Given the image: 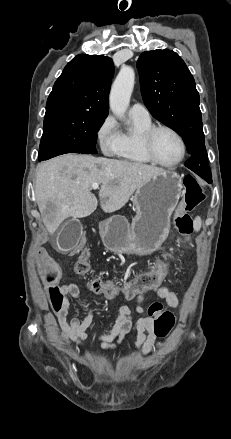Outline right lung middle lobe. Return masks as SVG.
I'll use <instances>...</instances> for the list:
<instances>
[{
    "label": "right lung middle lobe",
    "instance_id": "1",
    "mask_svg": "<svg viewBox=\"0 0 231 439\" xmlns=\"http://www.w3.org/2000/svg\"><path fill=\"white\" fill-rule=\"evenodd\" d=\"M106 117L90 113L45 117L39 161L65 153L96 154L97 132Z\"/></svg>",
    "mask_w": 231,
    "mask_h": 439
}]
</instances>
